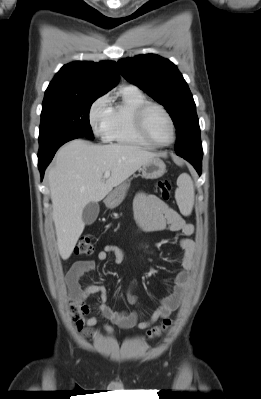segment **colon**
<instances>
[{
  "instance_id": "1",
  "label": "colon",
  "mask_w": 261,
  "mask_h": 399,
  "mask_svg": "<svg viewBox=\"0 0 261 399\" xmlns=\"http://www.w3.org/2000/svg\"><path fill=\"white\" fill-rule=\"evenodd\" d=\"M159 192L163 199H169L171 193V183L167 179H162L158 182ZM94 250V243L90 235H82L75 246V254L88 255ZM70 316L78 329H83L84 320L89 314V308L78 300L72 299L70 301ZM172 325V319L166 317L160 325L150 328L147 331L148 338H155L165 333Z\"/></svg>"
}]
</instances>
